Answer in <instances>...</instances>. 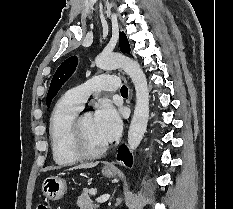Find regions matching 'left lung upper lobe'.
<instances>
[{"instance_id":"obj_1","label":"left lung upper lobe","mask_w":233,"mask_h":209,"mask_svg":"<svg viewBox=\"0 0 233 209\" xmlns=\"http://www.w3.org/2000/svg\"><path fill=\"white\" fill-rule=\"evenodd\" d=\"M119 46L122 53H129L130 52V45L127 40L126 35L124 32H121L119 38ZM78 59L76 56H72L66 59L56 70L50 87L47 94V106L50 105L52 99L55 97L61 86L68 80V78L73 74L75 68L77 66Z\"/></svg>"}]
</instances>
